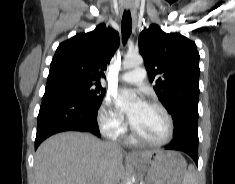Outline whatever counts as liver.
Instances as JSON below:
<instances>
[{"instance_id": "6515ba94", "label": "liver", "mask_w": 235, "mask_h": 184, "mask_svg": "<svg viewBox=\"0 0 235 184\" xmlns=\"http://www.w3.org/2000/svg\"><path fill=\"white\" fill-rule=\"evenodd\" d=\"M154 152H139L146 158ZM118 146L92 134L62 132L45 140L35 154L36 184H116L126 174Z\"/></svg>"}]
</instances>
